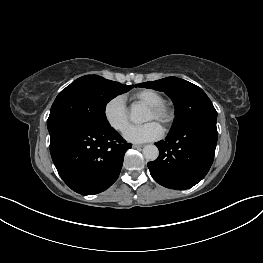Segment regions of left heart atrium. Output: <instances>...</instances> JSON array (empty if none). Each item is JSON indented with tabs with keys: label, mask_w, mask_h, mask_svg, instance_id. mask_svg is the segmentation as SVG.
<instances>
[{
	"label": "left heart atrium",
	"mask_w": 263,
	"mask_h": 263,
	"mask_svg": "<svg viewBox=\"0 0 263 263\" xmlns=\"http://www.w3.org/2000/svg\"><path fill=\"white\" fill-rule=\"evenodd\" d=\"M163 134L162 127L156 121H149L143 125L130 126L124 132L125 140L132 143H143L159 139Z\"/></svg>",
	"instance_id": "1"
}]
</instances>
